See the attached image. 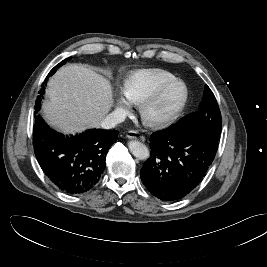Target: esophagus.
I'll return each instance as SVG.
<instances>
[{
	"instance_id": "obj_1",
	"label": "esophagus",
	"mask_w": 267,
	"mask_h": 267,
	"mask_svg": "<svg viewBox=\"0 0 267 267\" xmlns=\"http://www.w3.org/2000/svg\"><path fill=\"white\" fill-rule=\"evenodd\" d=\"M126 137L129 138V139H137V140H140V141H144L145 140V137L137 132V131H129L127 134H126Z\"/></svg>"
}]
</instances>
